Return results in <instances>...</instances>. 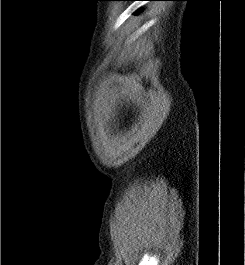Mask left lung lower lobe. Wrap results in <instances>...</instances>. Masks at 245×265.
<instances>
[{
  "instance_id": "obj_1",
  "label": "left lung lower lobe",
  "mask_w": 245,
  "mask_h": 265,
  "mask_svg": "<svg viewBox=\"0 0 245 265\" xmlns=\"http://www.w3.org/2000/svg\"><path fill=\"white\" fill-rule=\"evenodd\" d=\"M118 1H142V0H118ZM152 1V0H149Z\"/></svg>"
}]
</instances>
